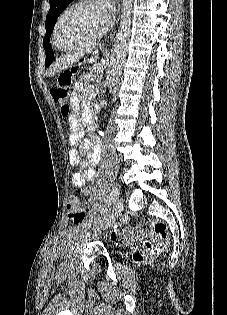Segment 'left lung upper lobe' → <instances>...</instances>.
<instances>
[{
    "mask_svg": "<svg viewBox=\"0 0 227 315\" xmlns=\"http://www.w3.org/2000/svg\"><path fill=\"white\" fill-rule=\"evenodd\" d=\"M50 2V10L47 14L46 17V22H45V28H46V35L43 40V46L46 51V61H45V66L46 62L49 58V51L51 49L49 45V38L51 36V33L54 28V24L56 22V19L58 16L63 12V10L72 2V0H49ZM53 53V51H52Z\"/></svg>",
    "mask_w": 227,
    "mask_h": 315,
    "instance_id": "5c2ea615",
    "label": "left lung upper lobe"
}]
</instances>
